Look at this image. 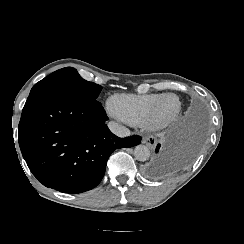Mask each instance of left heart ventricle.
Instances as JSON below:
<instances>
[{
	"mask_svg": "<svg viewBox=\"0 0 244 244\" xmlns=\"http://www.w3.org/2000/svg\"><path fill=\"white\" fill-rule=\"evenodd\" d=\"M176 105V101L172 97L165 98L162 102V109L164 111H170Z\"/></svg>",
	"mask_w": 244,
	"mask_h": 244,
	"instance_id": "b2bd125f",
	"label": "left heart ventricle"
}]
</instances>
